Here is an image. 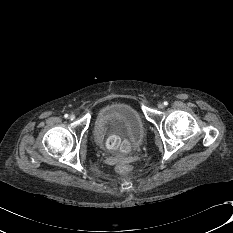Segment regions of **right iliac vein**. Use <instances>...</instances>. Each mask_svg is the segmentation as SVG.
<instances>
[{
    "instance_id": "1",
    "label": "right iliac vein",
    "mask_w": 233,
    "mask_h": 233,
    "mask_svg": "<svg viewBox=\"0 0 233 233\" xmlns=\"http://www.w3.org/2000/svg\"><path fill=\"white\" fill-rule=\"evenodd\" d=\"M69 119H70V120H74V119H75V115H74V114H71V115L69 116Z\"/></svg>"
}]
</instances>
